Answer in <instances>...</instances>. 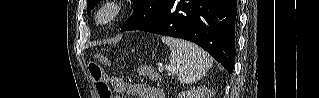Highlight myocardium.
I'll return each instance as SVG.
<instances>
[{
  "label": "myocardium",
  "mask_w": 319,
  "mask_h": 98,
  "mask_svg": "<svg viewBox=\"0 0 319 98\" xmlns=\"http://www.w3.org/2000/svg\"><path fill=\"white\" fill-rule=\"evenodd\" d=\"M124 12V6L120 1H108L97 10V21L102 25L115 22Z\"/></svg>",
  "instance_id": "obj_1"
}]
</instances>
